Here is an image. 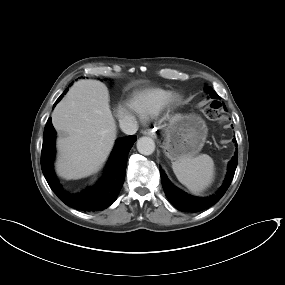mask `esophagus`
Returning a JSON list of instances; mask_svg holds the SVG:
<instances>
[{
    "label": "esophagus",
    "mask_w": 285,
    "mask_h": 285,
    "mask_svg": "<svg viewBox=\"0 0 285 285\" xmlns=\"http://www.w3.org/2000/svg\"><path fill=\"white\" fill-rule=\"evenodd\" d=\"M145 134L153 139H156L157 138V134L155 133L154 130H151V129H148Z\"/></svg>",
    "instance_id": "esophagus-1"
}]
</instances>
